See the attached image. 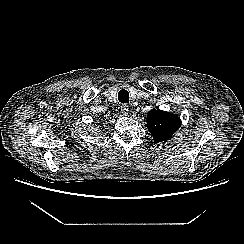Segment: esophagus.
Returning a JSON list of instances; mask_svg holds the SVG:
<instances>
[{"label":"esophagus","instance_id":"esophagus-1","mask_svg":"<svg viewBox=\"0 0 244 244\" xmlns=\"http://www.w3.org/2000/svg\"><path fill=\"white\" fill-rule=\"evenodd\" d=\"M120 110L123 115H127L129 111V106L127 104H122Z\"/></svg>","mask_w":244,"mask_h":244}]
</instances>
